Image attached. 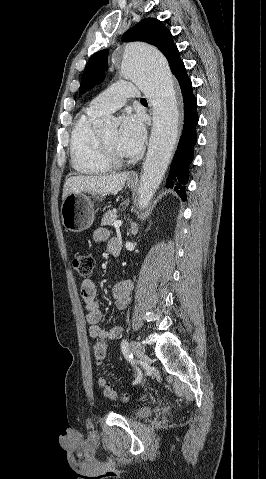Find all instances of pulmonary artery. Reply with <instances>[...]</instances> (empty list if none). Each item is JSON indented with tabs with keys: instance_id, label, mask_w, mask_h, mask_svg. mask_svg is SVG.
I'll return each mask as SVG.
<instances>
[{
	"instance_id": "1",
	"label": "pulmonary artery",
	"mask_w": 266,
	"mask_h": 479,
	"mask_svg": "<svg viewBox=\"0 0 266 479\" xmlns=\"http://www.w3.org/2000/svg\"><path fill=\"white\" fill-rule=\"evenodd\" d=\"M138 97L139 90L133 83L119 81L93 98L88 109L97 114H109L122 107L127 99Z\"/></svg>"
}]
</instances>
